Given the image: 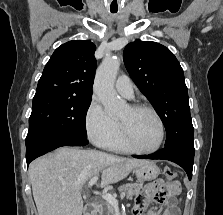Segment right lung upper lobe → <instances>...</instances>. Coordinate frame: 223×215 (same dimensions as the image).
<instances>
[{
    "label": "right lung upper lobe",
    "instance_id": "right-lung-upper-lobe-1",
    "mask_svg": "<svg viewBox=\"0 0 223 215\" xmlns=\"http://www.w3.org/2000/svg\"><path fill=\"white\" fill-rule=\"evenodd\" d=\"M95 49V45L87 40H72L59 46L45 65L35 95L91 99Z\"/></svg>",
    "mask_w": 223,
    "mask_h": 215
}]
</instances>
